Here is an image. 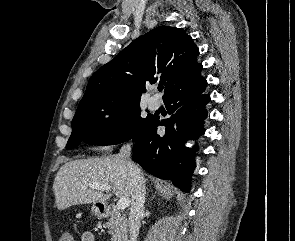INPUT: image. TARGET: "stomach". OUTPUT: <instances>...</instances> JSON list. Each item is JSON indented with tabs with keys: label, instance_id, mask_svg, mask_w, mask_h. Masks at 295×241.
<instances>
[{
	"label": "stomach",
	"instance_id": "obj_1",
	"mask_svg": "<svg viewBox=\"0 0 295 241\" xmlns=\"http://www.w3.org/2000/svg\"><path fill=\"white\" fill-rule=\"evenodd\" d=\"M91 211L97 217H103L104 216V209H103V207H100V203L93 204V206L91 208Z\"/></svg>",
	"mask_w": 295,
	"mask_h": 241
}]
</instances>
